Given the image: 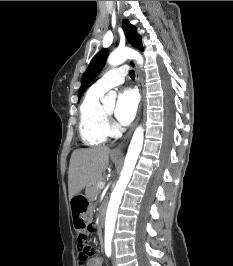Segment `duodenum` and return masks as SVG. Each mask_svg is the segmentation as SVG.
Returning <instances> with one entry per match:
<instances>
[{
  "instance_id": "410a0bca",
  "label": "duodenum",
  "mask_w": 233,
  "mask_h": 266,
  "mask_svg": "<svg viewBox=\"0 0 233 266\" xmlns=\"http://www.w3.org/2000/svg\"><path fill=\"white\" fill-rule=\"evenodd\" d=\"M105 220V208H101L100 213H99V224L103 225Z\"/></svg>"
}]
</instances>
